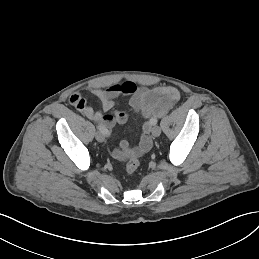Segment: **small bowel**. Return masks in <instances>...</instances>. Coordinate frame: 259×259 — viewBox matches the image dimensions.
<instances>
[{
    "mask_svg": "<svg viewBox=\"0 0 259 259\" xmlns=\"http://www.w3.org/2000/svg\"><path fill=\"white\" fill-rule=\"evenodd\" d=\"M87 91L101 101L102 110H95L89 106L79 92L70 96V104L85 117L99 123L107 130L112 129L116 124H124L128 120L127 114L122 111H115L113 115L106 113L115 106L119 96H130V106L140 111L146 119L141 125V136L136 148L131 149L127 141H122L119 148L111 151L112 157L117 160L148 152L152 146L150 132L155 121L163 117L180 99L179 91L172 86L138 87L131 81L113 84L106 88L89 86Z\"/></svg>",
    "mask_w": 259,
    "mask_h": 259,
    "instance_id": "obj_1",
    "label": "small bowel"
}]
</instances>
